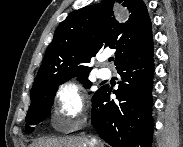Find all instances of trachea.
Listing matches in <instances>:
<instances>
[{
  "label": "trachea",
  "instance_id": "trachea-1",
  "mask_svg": "<svg viewBox=\"0 0 183 147\" xmlns=\"http://www.w3.org/2000/svg\"><path fill=\"white\" fill-rule=\"evenodd\" d=\"M108 60H109V62H111L114 60V57H110Z\"/></svg>",
  "mask_w": 183,
  "mask_h": 147
}]
</instances>
